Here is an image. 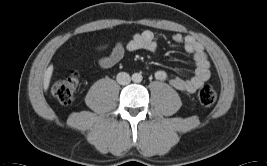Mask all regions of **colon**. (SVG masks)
I'll return each mask as SVG.
<instances>
[{
	"label": "colon",
	"instance_id": "1",
	"mask_svg": "<svg viewBox=\"0 0 267 166\" xmlns=\"http://www.w3.org/2000/svg\"><path fill=\"white\" fill-rule=\"evenodd\" d=\"M77 86L78 73L73 72L70 76L56 81L52 93L61 104L69 105L74 99ZM198 98L202 105L212 106L217 100V91L211 84H204L199 90Z\"/></svg>",
	"mask_w": 267,
	"mask_h": 166
}]
</instances>
